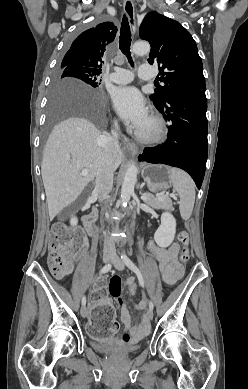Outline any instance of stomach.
I'll list each match as a JSON object with an SVG mask.
<instances>
[{
	"label": "stomach",
	"mask_w": 248,
	"mask_h": 389,
	"mask_svg": "<svg viewBox=\"0 0 248 389\" xmlns=\"http://www.w3.org/2000/svg\"><path fill=\"white\" fill-rule=\"evenodd\" d=\"M170 167L161 164H144L142 177L152 192H160L169 189L172 180L169 172Z\"/></svg>",
	"instance_id": "obj_1"
}]
</instances>
